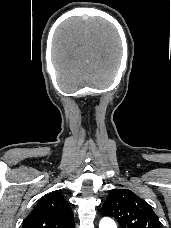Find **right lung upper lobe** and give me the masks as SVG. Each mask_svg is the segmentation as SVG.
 Here are the masks:
<instances>
[{
    "label": "right lung upper lobe",
    "mask_w": 171,
    "mask_h": 228,
    "mask_svg": "<svg viewBox=\"0 0 171 228\" xmlns=\"http://www.w3.org/2000/svg\"><path fill=\"white\" fill-rule=\"evenodd\" d=\"M22 228H74V216L63 196L52 192L39 201Z\"/></svg>",
    "instance_id": "obj_1"
}]
</instances>
